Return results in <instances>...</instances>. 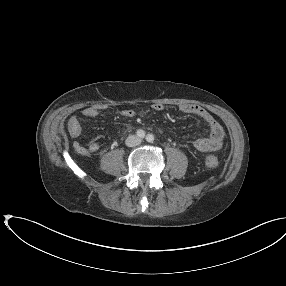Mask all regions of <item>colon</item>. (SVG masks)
<instances>
[{
	"label": "colon",
	"instance_id": "1",
	"mask_svg": "<svg viewBox=\"0 0 286 286\" xmlns=\"http://www.w3.org/2000/svg\"><path fill=\"white\" fill-rule=\"evenodd\" d=\"M205 165L209 168H215L218 166V160L215 156H207L205 158Z\"/></svg>",
	"mask_w": 286,
	"mask_h": 286
}]
</instances>
